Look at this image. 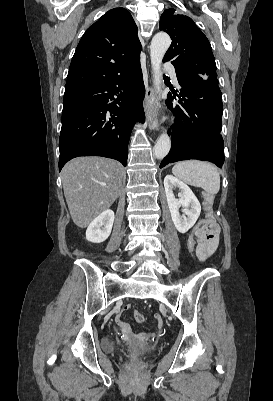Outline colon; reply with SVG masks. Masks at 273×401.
Segmentation results:
<instances>
[{
  "mask_svg": "<svg viewBox=\"0 0 273 401\" xmlns=\"http://www.w3.org/2000/svg\"><path fill=\"white\" fill-rule=\"evenodd\" d=\"M200 227L205 232H201L199 238L201 241H218L219 233L217 232V224L211 216H207L200 222ZM136 321H143L145 315L143 312H136L134 315Z\"/></svg>",
  "mask_w": 273,
  "mask_h": 401,
  "instance_id": "1",
  "label": "colon"
}]
</instances>
